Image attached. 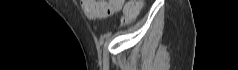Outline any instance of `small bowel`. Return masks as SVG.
I'll return each instance as SVG.
<instances>
[{"instance_id":"small-bowel-1","label":"small bowel","mask_w":238,"mask_h":70,"mask_svg":"<svg viewBox=\"0 0 238 70\" xmlns=\"http://www.w3.org/2000/svg\"><path fill=\"white\" fill-rule=\"evenodd\" d=\"M103 1H107L108 2V0H103ZM81 5H82V8L84 9L85 8V5H84V3H81ZM121 7H119V9H120Z\"/></svg>"}]
</instances>
